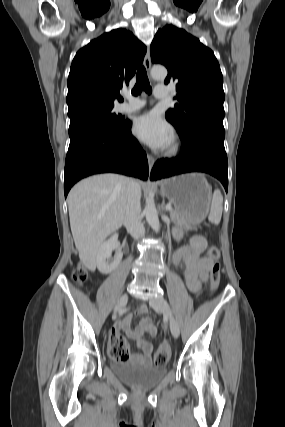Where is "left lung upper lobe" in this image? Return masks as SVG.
Segmentation results:
<instances>
[{"label": "left lung upper lobe", "instance_id": "left-lung-upper-lobe-1", "mask_svg": "<svg viewBox=\"0 0 285 427\" xmlns=\"http://www.w3.org/2000/svg\"><path fill=\"white\" fill-rule=\"evenodd\" d=\"M150 54L153 63L167 67L165 84L176 83L179 102L166 112V119L180 135L204 122L223 126V76L212 50L185 30L166 25L156 33Z\"/></svg>", "mask_w": 285, "mask_h": 427}]
</instances>
